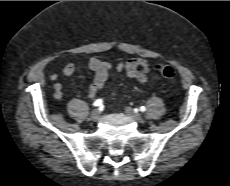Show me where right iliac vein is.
Masks as SVG:
<instances>
[{"instance_id":"obj_1","label":"right iliac vein","mask_w":230,"mask_h":186,"mask_svg":"<svg viewBox=\"0 0 230 186\" xmlns=\"http://www.w3.org/2000/svg\"><path fill=\"white\" fill-rule=\"evenodd\" d=\"M90 118L93 121H97L100 118V111L98 109H94L90 114Z\"/></svg>"}]
</instances>
